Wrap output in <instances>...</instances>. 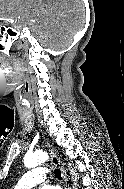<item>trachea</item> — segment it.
Returning <instances> with one entry per match:
<instances>
[{
	"label": "trachea",
	"instance_id": "obj_1",
	"mask_svg": "<svg viewBox=\"0 0 124 189\" xmlns=\"http://www.w3.org/2000/svg\"><path fill=\"white\" fill-rule=\"evenodd\" d=\"M55 176L58 178V179H61V171L59 169H55Z\"/></svg>",
	"mask_w": 124,
	"mask_h": 189
}]
</instances>
